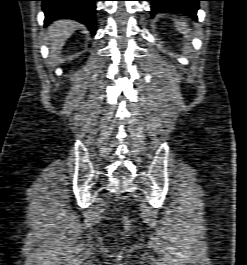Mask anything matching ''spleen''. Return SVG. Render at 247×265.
Here are the masks:
<instances>
[{"instance_id":"1","label":"spleen","mask_w":247,"mask_h":265,"mask_svg":"<svg viewBox=\"0 0 247 265\" xmlns=\"http://www.w3.org/2000/svg\"><path fill=\"white\" fill-rule=\"evenodd\" d=\"M174 23L181 33H187L189 31L187 23L183 20H174Z\"/></svg>"}]
</instances>
